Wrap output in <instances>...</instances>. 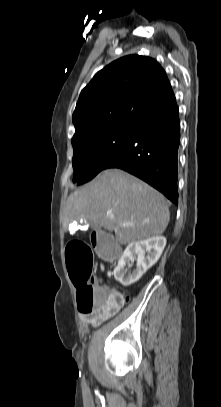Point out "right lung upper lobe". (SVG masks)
Segmentation results:
<instances>
[{
	"mask_svg": "<svg viewBox=\"0 0 221 407\" xmlns=\"http://www.w3.org/2000/svg\"><path fill=\"white\" fill-rule=\"evenodd\" d=\"M174 96L159 63L129 55L100 70L82 90L72 120L81 137L117 124H137Z\"/></svg>",
	"mask_w": 221,
	"mask_h": 407,
	"instance_id": "right-lung-upper-lobe-1",
	"label": "right lung upper lobe"
}]
</instances>
